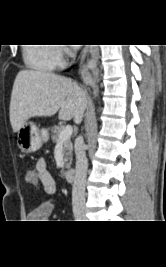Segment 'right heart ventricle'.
Masks as SVG:
<instances>
[{
    "label": "right heart ventricle",
    "mask_w": 166,
    "mask_h": 267,
    "mask_svg": "<svg viewBox=\"0 0 166 267\" xmlns=\"http://www.w3.org/2000/svg\"><path fill=\"white\" fill-rule=\"evenodd\" d=\"M23 60L28 68L39 72H50L61 65L56 50L41 43L26 44L23 48Z\"/></svg>",
    "instance_id": "e07e8e85"
}]
</instances>
